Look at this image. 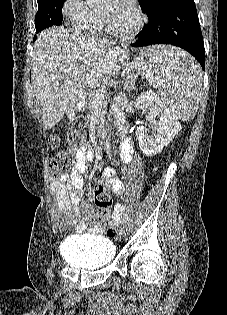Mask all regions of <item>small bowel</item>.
Instances as JSON below:
<instances>
[{
  "label": "small bowel",
  "instance_id": "1",
  "mask_svg": "<svg viewBox=\"0 0 227 315\" xmlns=\"http://www.w3.org/2000/svg\"><path fill=\"white\" fill-rule=\"evenodd\" d=\"M122 156L125 161H129L131 158L130 150L124 148ZM93 158L94 150L91 142L81 146L75 153V164L71 172L60 176L51 186V190L57 199L58 214L55 217V228L58 231L63 230L67 221L74 226L77 233L82 234L87 229L83 220V212L90 213V210L86 204L88 195L85 196L81 192L83 186L82 176L87 170L88 163L91 162ZM101 185L111 187L117 194L123 192V185L116 176L114 168L105 169L102 175ZM122 214H125L124 206L116 204L111 216V223H120ZM107 225L108 224H105L104 221L95 220L93 225L89 228V231L91 233H103Z\"/></svg>",
  "mask_w": 227,
  "mask_h": 315
}]
</instances>
